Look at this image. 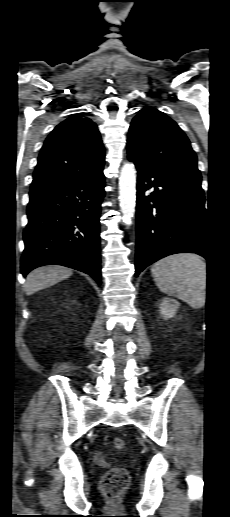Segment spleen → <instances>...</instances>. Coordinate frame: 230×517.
I'll use <instances>...</instances> for the list:
<instances>
[{
    "label": "spleen",
    "mask_w": 230,
    "mask_h": 517,
    "mask_svg": "<svg viewBox=\"0 0 230 517\" xmlns=\"http://www.w3.org/2000/svg\"><path fill=\"white\" fill-rule=\"evenodd\" d=\"M151 273L163 293L198 309L206 302V263L195 254H176L156 262Z\"/></svg>",
    "instance_id": "1"
}]
</instances>
